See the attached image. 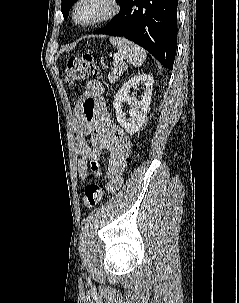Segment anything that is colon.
<instances>
[{"label":"colon","instance_id":"1","mask_svg":"<svg viewBox=\"0 0 239 303\" xmlns=\"http://www.w3.org/2000/svg\"><path fill=\"white\" fill-rule=\"evenodd\" d=\"M99 68L90 54H84L81 57H73L68 59L65 66V81L67 84L72 85L80 83L85 80L89 75H97ZM89 119V116H87ZM91 145V140L86 141ZM90 170L93 176L97 179L101 176V169L97 159L89 161ZM103 198V189L98 182L88 184L83 191L82 201L88 207L96 206Z\"/></svg>","mask_w":239,"mask_h":303}]
</instances>
